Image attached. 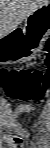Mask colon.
Masks as SVG:
<instances>
[{
  "label": "colon",
  "mask_w": 50,
  "mask_h": 148,
  "mask_svg": "<svg viewBox=\"0 0 50 148\" xmlns=\"http://www.w3.org/2000/svg\"><path fill=\"white\" fill-rule=\"evenodd\" d=\"M50 49V43H47ZM50 65V56L43 60ZM4 93L15 100L36 101L47 97L50 85V71L4 70L0 74Z\"/></svg>",
  "instance_id": "1"
}]
</instances>
